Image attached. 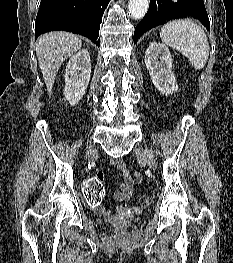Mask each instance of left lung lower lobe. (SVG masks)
<instances>
[{
	"instance_id": "0a47b994",
	"label": "left lung lower lobe",
	"mask_w": 233,
	"mask_h": 263,
	"mask_svg": "<svg viewBox=\"0 0 233 263\" xmlns=\"http://www.w3.org/2000/svg\"><path fill=\"white\" fill-rule=\"evenodd\" d=\"M196 18L210 29V22L203 0H150L147 14L136 26L134 43L138 38L153 27L177 18Z\"/></svg>"
}]
</instances>
